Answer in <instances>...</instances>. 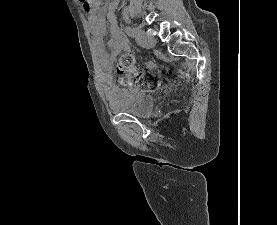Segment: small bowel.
Returning <instances> with one entry per match:
<instances>
[{"label":"small bowel","instance_id":"small-bowel-1","mask_svg":"<svg viewBox=\"0 0 277 225\" xmlns=\"http://www.w3.org/2000/svg\"><path fill=\"white\" fill-rule=\"evenodd\" d=\"M118 2L119 0H112L108 6L107 11L101 9L98 11V13H96L91 6L88 8L90 14L89 26L93 41L95 43L98 56L104 63L116 57L120 52L130 50L129 46L122 38L120 29L116 24V17L114 12L117 8ZM105 19H107L110 23V40L108 42L109 56L106 55L103 46V38L106 35ZM102 77L105 95L110 102H114L120 91L117 87L113 86L111 82V75L108 70L103 72ZM120 82L123 83V81Z\"/></svg>","mask_w":277,"mask_h":225}]
</instances>
